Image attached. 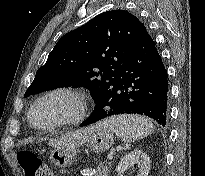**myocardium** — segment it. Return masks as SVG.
Here are the masks:
<instances>
[{"instance_id": "1", "label": "myocardium", "mask_w": 205, "mask_h": 176, "mask_svg": "<svg viewBox=\"0 0 205 176\" xmlns=\"http://www.w3.org/2000/svg\"><path fill=\"white\" fill-rule=\"evenodd\" d=\"M53 97H65L69 99L73 105L74 110L71 114L61 118L57 122L48 126H38L33 122V114L36 108L43 102ZM87 116V102L84 95L76 89L71 87H56L50 89L40 95L32 104L28 112V122L30 126L36 130L46 131L55 128H60L69 125H76L81 123Z\"/></svg>"}]
</instances>
